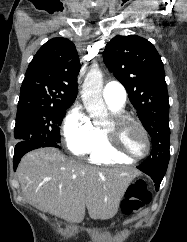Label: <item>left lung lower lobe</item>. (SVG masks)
I'll list each match as a JSON object with an SVG mask.
<instances>
[{"label": "left lung lower lobe", "mask_w": 187, "mask_h": 242, "mask_svg": "<svg viewBox=\"0 0 187 242\" xmlns=\"http://www.w3.org/2000/svg\"><path fill=\"white\" fill-rule=\"evenodd\" d=\"M139 170L142 172L148 174L154 181L155 183V188L156 190L159 189L160 183L165 175L166 170L163 169H156V168H149V167H144V166H137Z\"/></svg>", "instance_id": "1"}]
</instances>
